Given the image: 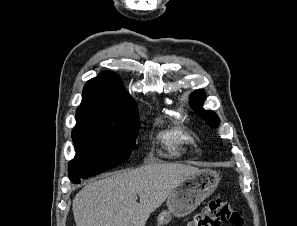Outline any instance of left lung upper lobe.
I'll list each match as a JSON object with an SVG mask.
<instances>
[{"label": "left lung upper lobe", "mask_w": 297, "mask_h": 226, "mask_svg": "<svg viewBox=\"0 0 297 226\" xmlns=\"http://www.w3.org/2000/svg\"><path fill=\"white\" fill-rule=\"evenodd\" d=\"M205 99L204 92L202 90L194 92L189 97V103L192 106V109L197 112L200 117H202L206 122L213 127H218L219 118L218 116L212 112L203 109V101Z\"/></svg>", "instance_id": "1"}]
</instances>
